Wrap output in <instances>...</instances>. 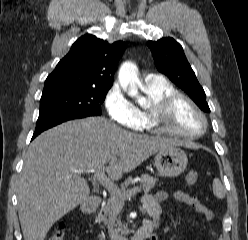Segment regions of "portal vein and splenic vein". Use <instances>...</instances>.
<instances>
[{"label":"portal vein and splenic vein","instance_id":"18ae733b","mask_svg":"<svg viewBox=\"0 0 248 240\" xmlns=\"http://www.w3.org/2000/svg\"><path fill=\"white\" fill-rule=\"evenodd\" d=\"M79 173H91L92 177L105 185L107 190L112 194H115L118 190V187L114 184V182L105 175V167L100 166L97 169H90V170H80ZM141 190V187H134L131 190H128L124 193V198H130L136 195Z\"/></svg>","mask_w":248,"mask_h":240}]
</instances>
